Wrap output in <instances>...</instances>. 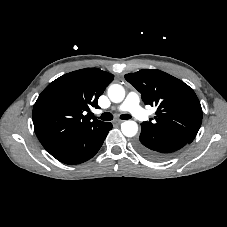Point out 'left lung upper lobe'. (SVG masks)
<instances>
[{"label":"left lung upper lobe","instance_id":"obj_1","mask_svg":"<svg viewBox=\"0 0 227 227\" xmlns=\"http://www.w3.org/2000/svg\"><path fill=\"white\" fill-rule=\"evenodd\" d=\"M126 80L142 95L145 104L156 106V116L142 125L191 143L202 122V108L195 92L183 81L157 69L126 74Z\"/></svg>","mask_w":227,"mask_h":227}]
</instances>
